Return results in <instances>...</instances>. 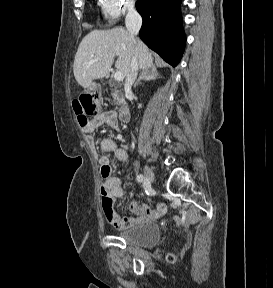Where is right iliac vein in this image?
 I'll return each mask as SVG.
<instances>
[{
	"label": "right iliac vein",
	"mask_w": 273,
	"mask_h": 288,
	"mask_svg": "<svg viewBox=\"0 0 273 288\" xmlns=\"http://www.w3.org/2000/svg\"><path fill=\"white\" fill-rule=\"evenodd\" d=\"M143 172H144V175H145V178L147 179V181L153 182L154 173H153L152 169L149 166L145 165L143 168Z\"/></svg>",
	"instance_id": "obj_1"
}]
</instances>
